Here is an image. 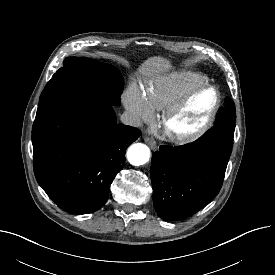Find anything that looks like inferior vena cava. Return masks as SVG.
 <instances>
[{"mask_svg":"<svg viewBox=\"0 0 275 275\" xmlns=\"http://www.w3.org/2000/svg\"><path fill=\"white\" fill-rule=\"evenodd\" d=\"M120 119L124 125H130L134 127H139L141 125L140 118L137 115L132 114L130 112H124L121 115Z\"/></svg>","mask_w":275,"mask_h":275,"instance_id":"obj_1","label":"inferior vena cava"}]
</instances>
